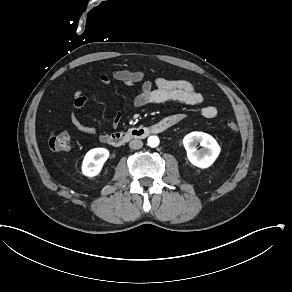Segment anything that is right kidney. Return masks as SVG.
<instances>
[{"mask_svg":"<svg viewBox=\"0 0 292 292\" xmlns=\"http://www.w3.org/2000/svg\"><path fill=\"white\" fill-rule=\"evenodd\" d=\"M109 157V151L105 148L90 150L84 157L82 173L86 176H96L102 169L103 164Z\"/></svg>","mask_w":292,"mask_h":292,"instance_id":"ca27d5eb","label":"right kidney"}]
</instances>
